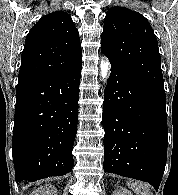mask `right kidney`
Segmentation results:
<instances>
[{"instance_id":"ca27d5eb","label":"right kidney","mask_w":178,"mask_h":195,"mask_svg":"<svg viewBox=\"0 0 178 195\" xmlns=\"http://www.w3.org/2000/svg\"><path fill=\"white\" fill-rule=\"evenodd\" d=\"M31 195H57V190L51 185H45L33 191Z\"/></svg>"}]
</instances>
